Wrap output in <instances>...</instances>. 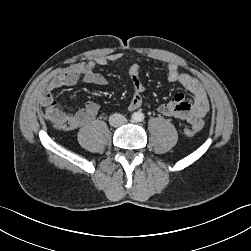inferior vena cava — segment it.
<instances>
[{"instance_id": "obj_1", "label": "inferior vena cava", "mask_w": 251, "mask_h": 251, "mask_svg": "<svg viewBox=\"0 0 251 251\" xmlns=\"http://www.w3.org/2000/svg\"><path fill=\"white\" fill-rule=\"evenodd\" d=\"M126 122L127 120L122 114L115 113L109 117V123L111 126H114V127L121 126L125 124Z\"/></svg>"}]
</instances>
